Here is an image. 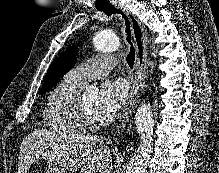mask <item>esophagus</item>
Returning a JSON list of instances; mask_svg holds the SVG:
<instances>
[{
	"instance_id": "1",
	"label": "esophagus",
	"mask_w": 219,
	"mask_h": 173,
	"mask_svg": "<svg viewBox=\"0 0 219 173\" xmlns=\"http://www.w3.org/2000/svg\"><path fill=\"white\" fill-rule=\"evenodd\" d=\"M115 7L124 12L130 21L137 54L135 76L132 80L130 95L118 127V133L122 135L129 128L130 117L136 108L139 91L145 78L144 71L147 58V34L140 21L129 11L128 8L124 7L120 3H116Z\"/></svg>"
}]
</instances>
